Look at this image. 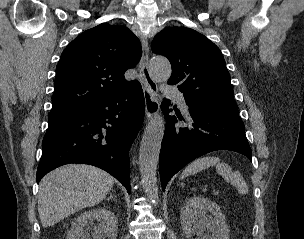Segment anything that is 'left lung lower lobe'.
I'll return each instance as SVG.
<instances>
[{"label": "left lung lower lobe", "mask_w": 304, "mask_h": 239, "mask_svg": "<svg viewBox=\"0 0 304 239\" xmlns=\"http://www.w3.org/2000/svg\"><path fill=\"white\" fill-rule=\"evenodd\" d=\"M170 101L165 99L161 109L166 117L159 167L163 191L168 181L192 160L216 150H230L252 159L251 148L239 115L189 107L193 120L187 127L176 125L177 117L169 116Z\"/></svg>", "instance_id": "1"}]
</instances>
